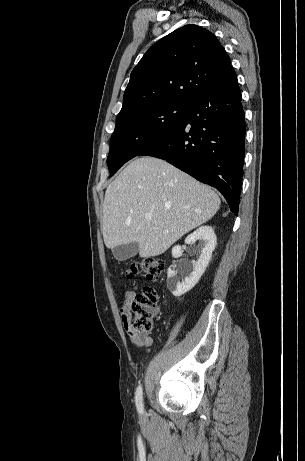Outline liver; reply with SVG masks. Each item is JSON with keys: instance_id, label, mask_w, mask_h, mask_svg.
<instances>
[{"instance_id": "liver-1", "label": "liver", "mask_w": 305, "mask_h": 461, "mask_svg": "<svg viewBox=\"0 0 305 461\" xmlns=\"http://www.w3.org/2000/svg\"><path fill=\"white\" fill-rule=\"evenodd\" d=\"M219 196L171 164L136 158L107 187L102 233L107 248L138 243L140 257L164 253L184 234L210 220ZM152 215L151 220L145 214Z\"/></svg>"}]
</instances>
